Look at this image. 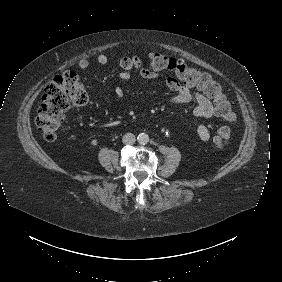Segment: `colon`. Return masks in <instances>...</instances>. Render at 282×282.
<instances>
[{"label":"colon","instance_id":"1","mask_svg":"<svg viewBox=\"0 0 282 282\" xmlns=\"http://www.w3.org/2000/svg\"><path fill=\"white\" fill-rule=\"evenodd\" d=\"M149 59V66L152 70L179 75L186 86L197 87L213 99L215 111L223 120L228 122L235 120L236 114L230 100L211 75L201 73L192 66L160 52L151 53ZM87 103V92L77 74L67 72L58 75L44 89L35 126L44 139L52 141L63 127L66 110L69 107H83ZM230 136V129L227 126H222L213 135V144L222 151L229 146Z\"/></svg>","mask_w":282,"mask_h":282}]
</instances>
